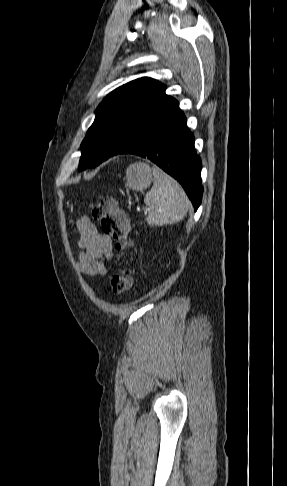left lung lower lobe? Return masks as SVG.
<instances>
[{
	"instance_id": "0a47b994",
	"label": "left lung lower lobe",
	"mask_w": 287,
	"mask_h": 486,
	"mask_svg": "<svg viewBox=\"0 0 287 486\" xmlns=\"http://www.w3.org/2000/svg\"><path fill=\"white\" fill-rule=\"evenodd\" d=\"M128 153L149 159L177 179L197 210L203 193L201 160L179 105L137 148Z\"/></svg>"
}]
</instances>
